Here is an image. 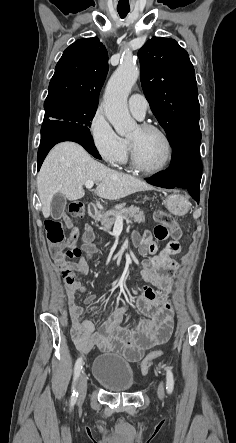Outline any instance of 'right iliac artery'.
<instances>
[{"instance_id":"right-iliac-artery-1","label":"right iliac artery","mask_w":236,"mask_h":443,"mask_svg":"<svg viewBox=\"0 0 236 443\" xmlns=\"http://www.w3.org/2000/svg\"><path fill=\"white\" fill-rule=\"evenodd\" d=\"M82 367H83V360H82V358H79L76 361L75 368H74V380H73L72 395H71V400H70L72 405L75 404L77 397H78V392L76 390V383L79 378Z\"/></svg>"}]
</instances>
